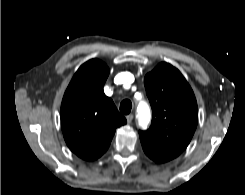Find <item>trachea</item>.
Here are the masks:
<instances>
[{
    "mask_svg": "<svg viewBox=\"0 0 245 195\" xmlns=\"http://www.w3.org/2000/svg\"><path fill=\"white\" fill-rule=\"evenodd\" d=\"M132 109V103L130 100L126 99L123 100L120 104V112L127 115L131 112Z\"/></svg>",
    "mask_w": 245,
    "mask_h": 195,
    "instance_id": "obj_1",
    "label": "trachea"
}]
</instances>
